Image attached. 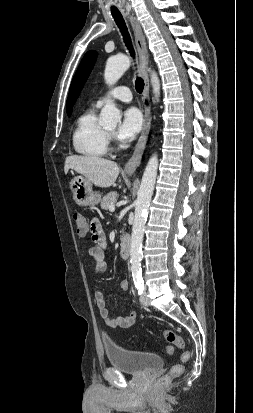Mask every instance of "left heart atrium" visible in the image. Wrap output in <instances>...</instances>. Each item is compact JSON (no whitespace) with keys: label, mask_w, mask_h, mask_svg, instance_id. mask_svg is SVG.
<instances>
[{"label":"left heart atrium","mask_w":253,"mask_h":413,"mask_svg":"<svg viewBox=\"0 0 253 413\" xmlns=\"http://www.w3.org/2000/svg\"><path fill=\"white\" fill-rule=\"evenodd\" d=\"M143 118L137 108L131 107L124 111L117 135L124 142H129L140 132Z\"/></svg>","instance_id":"left-heart-atrium-1"}]
</instances>
